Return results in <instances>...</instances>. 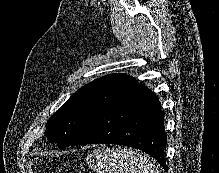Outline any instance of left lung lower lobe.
<instances>
[{"instance_id":"0a47b994","label":"left lung lower lobe","mask_w":219,"mask_h":173,"mask_svg":"<svg viewBox=\"0 0 219 173\" xmlns=\"http://www.w3.org/2000/svg\"><path fill=\"white\" fill-rule=\"evenodd\" d=\"M120 144L145 151L166 169L164 114L157 96L132 82L94 116L71 145Z\"/></svg>"}]
</instances>
